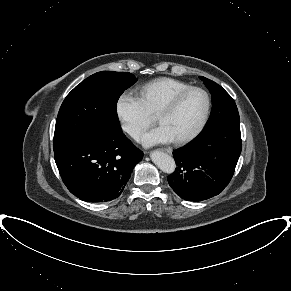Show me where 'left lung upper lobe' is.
Listing matches in <instances>:
<instances>
[{
  "label": "left lung upper lobe",
  "mask_w": 291,
  "mask_h": 291,
  "mask_svg": "<svg viewBox=\"0 0 291 291\" xmlns=\"http://www.w3.org/2000/svg\"><path fill=\"white\" fill-rule=\"evenodd\" d=\"M209 89L212 97L211 116L199 136L218 127L240 126V118L237 106L232 97L217 83L205 77H200Z\"/></svg>",
  "instance_id": "5c2ea615"
}]
</instances>
